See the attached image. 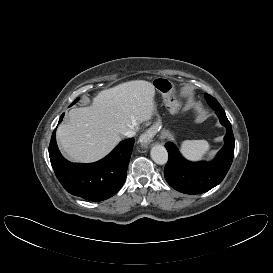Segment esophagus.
<instances>
[{
    "label": "esophagus",
    "mask_w": 273,
    "mask_h": 273,
    "mask_svg": "<svg viewBox=\"0 0 273 273\" xmlns=\"http://www.w3.org/2000/svg\"><path fill=\"white\" fill-rule=\"evenodd\" d=\"M152 138V134L150 131H147L145 132L142 136H141V139H142V142L145 143L147 142V140H150Z\"/></svg>",
    "instance_id": "34e87169"
}]
</instances>
